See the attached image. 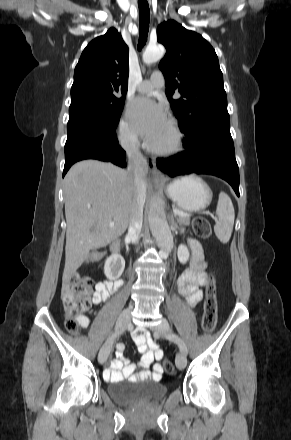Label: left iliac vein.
Returning <instances> with one entry per match:
<instances>
[{
    "instance_id": "obj_1",
    "label": "left iliac vein",
    "mask_w": 291,
    "mask_h": 440,
    "mask_svg": "<svg viewBox=\"0 0 291 440\" xmlns=\"http://www.w3.org/2000/svg\"><path fill=\"white\" fill-rule=\"evenodd\" d=\"M170 332V326L167 320L162 319L160 323L155 327V334L166 337ZM187 358L182 352H179L176 356V366L179 370H183L186 367Z\"/></svg>"
}]
</instances>
